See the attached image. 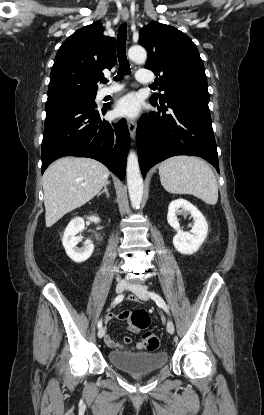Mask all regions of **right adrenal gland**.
I'll list each match as a JSON object with an SVG mask.
<instances>
[{"label":"right adrenal gland","instance_id":"obj_1","mask_svg":"<svg viewBox=\"0 0 264 415\" xmlns=\"http://www.w3.org/2000/svg\"><path fill=\"white\" fill-rule=\"evenodd\" d=\"M110 184L109 181L106 182V184L104 185V189L98 193V196H100L101 194L105 193L107 198H109L110 194L108 192L107 186Z\"/></svg>","mask_w":264,"mask_h":415}]
</instances>
